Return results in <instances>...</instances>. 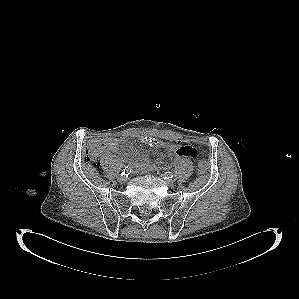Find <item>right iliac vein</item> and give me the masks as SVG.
<instances>
[{"label":"right iliac vein","mask_w":299,"mask_h":299,"mask_svg":"<svg viewBox=\"0 0 299 299\" xmlns=\"http://www.w3.org/2000/svg\"><path fill=\"white\" fill-rule=\"evenodd\" d=\"M118 181L120 183H125L127 181V177H125V176H119Z\"/></svg>","instance_id":"right-iliac-vein-1"}]
</instances>
